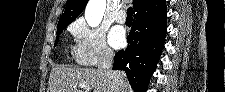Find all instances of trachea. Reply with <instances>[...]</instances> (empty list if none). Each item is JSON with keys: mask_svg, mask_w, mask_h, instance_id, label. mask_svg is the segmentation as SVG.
Masks as SVG:
<instances>
[{"mask_svg": "<svg viewBox=\"0 0 225 92\" xmlns=\"http://www.w3.org/2000/svg\"><path fill=\"white\" fill-rule=\"evenodd\" d=\"M132 17H133V8L129 7L127 9V19H132Z\"/></svg>", "mask_w": 225, "mask_h": 92, "instance_id": "1", "label": "trachea"}]
</instances>
